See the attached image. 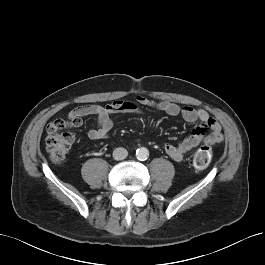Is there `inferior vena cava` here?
I'll return each instance as SVG.
<instances>
[{
    "label": "inferior vena cava",
    "instance_id": "1",
    "mask_svg": "<svg viewBox=\"0 0 265 265\" xmlns=\"http://www.w3.org/2000/svg\"><path fill=\"white\" fill-rule=\"evenodd\" d=\"M128 156V151L125 148L118 147L113 151V158L115 160H123Z\"/></svg>",
    "mask_w": 265,
    "mask_h": 265
}]
</instances>
